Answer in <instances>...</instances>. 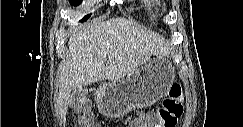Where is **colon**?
Here are the masks:
<instances>
[{"mask_svg":"<svg viewBox=\"0 0 243 127\" xmlns=\"http://www.w3.org/2000/svg\"><path fill=\"white\" fill-rule=\"evenodd\" d=\"M183 92L179 84H173L168 96L155 111L139 118L132 127H175L183 112ZM71 109L82 127L100 126L93 118L86 95H78L71 101Z\"/></svg>","mask_w":243,"mask_h":127,"instance_id":"colon-1","label":"colon"}]
</instances>
